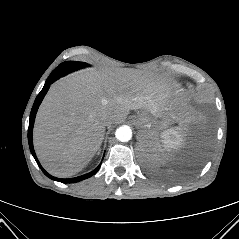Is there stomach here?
I'll list each match as a JSON object with an SVG mask.
<instances>
[{"label":"stomach","mask_w":239,"mask_h":239,"mask_svg":"<svg viewBox=\"0 0 239 239\" xmlns=\"http://www.w3.org/2000/svg\"><path fill=\"white\" fill-rule=\"evenodd\" d=\"M164 113L167 115V117H168L170 123L175 119V118H174V115H175L174 113L167 112V111H165Z\"/></svg>","instance_id":"0dacf381"}]
</instances>
